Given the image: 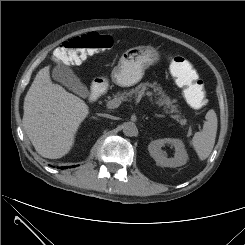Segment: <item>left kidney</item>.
<instances>
[{
  "label": "left kidney",
  "instance_id": "1",
  "mask_svg": "<svg viewBox=\"0 0 245 245\" xmlns=\"http://www.w3.org/2000/svg\"><path fill=\"white\" fill-rule=\"evenodd\" d=\"M165 145H171L175 148L173 158H167L161 148ZM148 151L157 165L161 167H179L185 165L188 161V154L185 150L184 143L180 139H157L151 141L148 145Z\"/></svg>",
  "mask_w": 245,
  "mask_h": 245
}]
</instances>
